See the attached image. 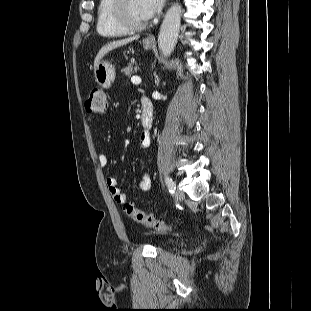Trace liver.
Returning a JSON list of instances; mask_svg holds the SVG:
<instances>
[{
  "label": "liver",
  "mask_w": 311,
  "mask_h": 311,
  "mask_svg": "<svg viewBox=\"0 0 311 311\" xmlns=\"http://www.w3.org/2000/svg\"><path fill=\"white\" fill-rule=\"evenodd\" d=\"M138 39H139V36H133V37H129V38H126V39L114 41V42H111V43H109V44L103 46V47L99 50V52H98V54H97V56H96V58H95V60H94V69H95V67L97 66V64L101 61V59H102L109 51H111V50H113V49H115V48H118V47H120V46L126 45V44H128V43H130V42H132V41H134V40H138Z\"/></svg>",
  "instance_id": "6515ba94"
}]
</instances>
